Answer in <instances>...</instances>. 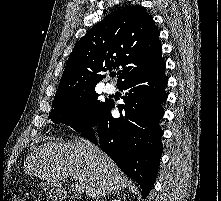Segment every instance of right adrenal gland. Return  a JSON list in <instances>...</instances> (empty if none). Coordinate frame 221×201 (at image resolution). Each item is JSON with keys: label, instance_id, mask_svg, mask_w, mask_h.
Segmentation results:
<instances>
[{"label": "right adrenal gland", "instance_id": "right-adrenal-gland-1", "mask_svg": "<svg viewBox=\"0 0 221 201\" xmlns=\"http://www.w3.org/2000/svg\"><path fill=\"white\" fill-rule=\"evenodd\" d=\"M118 193H119V192L102 194V195H100L99 197H97V200H96V201H100V199H101L102 197H106V196H109V195H111V194H114V195L117 194V195H118Z\"/></svg>", "mask_w": 221, "mask_h": 201}]
</instances>
